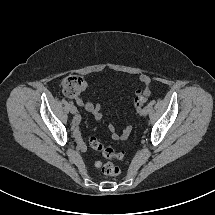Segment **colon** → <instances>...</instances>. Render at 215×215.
Segmentation results:
<instances>
[{"label": "colon", "instance_id": "5ec220e1", "mask_svg": "<svg viewBox=\"0 0 215 215\" xmlns=\"http://www.w3.org/2000/svg\"><path fill=\"white\" fill-rule=\"evenodd\" d=\"M84 81L78 75H68L62 81V89L66 96L75 98L83 90ZM151 90L145 86L135 92L133 100L134 108L139 111L143 103L150 97ZM90 146L96 151L100 152L103 159L95 162V166L107 176H117L120 174L119 168L114 165L110 160H121L124 158V153L117 152L109 146L102 144L96 137H90Z\"/></svg>", "mask_w": 215, "mask_h": 215}]
</instances>
